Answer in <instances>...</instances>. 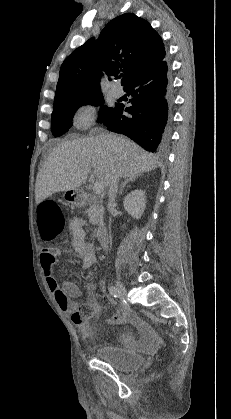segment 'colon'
Returning a JSON list of instances; mask_svg holds the SVG:
<instances>
[{
    "label": "colon",
    "instance_id": "colon-1",
    "mask_svg": "<svg viewBox=\"0 0 231 419\" xmlns=\"http://www.w3.org/2000/svg\"><path fill=\"white\" fill-rule=\"evenodd\" d=\"M39 226L44 241H53L64 227V218L57 202L46 200L38 208ZM80 318H90L96 313V308L91 303L79 306Z\"/></svg>",
    "mask_w": 231,
    "mask_h": 419
}]
</instances>
